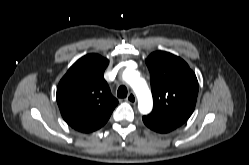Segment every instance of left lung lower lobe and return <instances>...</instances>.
Returning <instances> with one entry per match:
<instances>
[{
	"label": "left lung lower lobe",
	"instance_id": "obj_1",
	"mask_svg": "<svg viewBox=\"0 0 249 165\" xmlns=\"http://www.w3.org/2000/svg\"><path fill=\"white\" fill-rule=\"evenodd\" d=\"M143 122L147 127L159 133H168L179 127L175 124L155 120L147 116L143 117Z\"/></svg>",
	"mask_w": 249,
	"mask_h": 165
}]
</instances>
